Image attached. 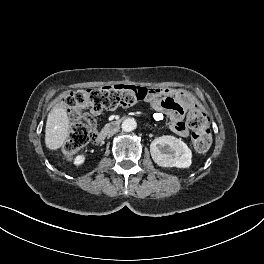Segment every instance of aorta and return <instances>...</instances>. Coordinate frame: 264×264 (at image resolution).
Here are the masks:
<instances>
[{
  "label": "aorta",
  "instance_id": "aorta-1",
  "mask_svg": "<svg viewBox=\"0 0 264 264\" xmlns=\"http://www.w3.org/2000/svg\"><path fill=\"white\" fill-rule=\"evenodd\" d=\"M136 126H137V123L132 118L125 119L122 122V125H121L122 130L125 131V132H131V131H133L134 129H136Z\"/></svg>",
  "mask_w": 264,
  "mask_h": 264
}]
</instances>
